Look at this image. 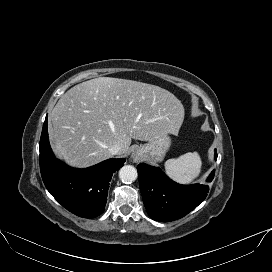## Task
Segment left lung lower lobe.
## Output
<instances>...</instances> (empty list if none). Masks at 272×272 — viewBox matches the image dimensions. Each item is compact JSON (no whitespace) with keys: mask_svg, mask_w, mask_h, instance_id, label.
Listing matches in <instances>:
<instances>
[{"mask_svg":"<svg viewBox=\"0 0 272 272\" xmlns=\"http://www.w3.org/2000/svg\"><path fill=\"white\" fill-rule=\"evenodd\" d=\"M137 171L143 202L153 220L170 222L180 219L207 196V185H180L169 179L158 167L142 163L137 166ZM214 174L215 170L207 178L208 182L214 178Z\"/></svg>","mask_w":272,"mask_h":272,"instance_id":"1","label":"left lung lower lobe"}]
</instances>
